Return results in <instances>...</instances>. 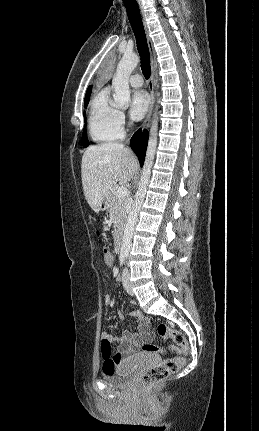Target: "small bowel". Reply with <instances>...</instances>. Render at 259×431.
I'll list each match as a JSON object with an SVG mask.
<instances>
[{
	"label": "small bowel",
	"mask_w": 259,
	"mask_h": 431,
	"mask_svg": "<svg viewBox=\"0 0 259 431\" xmlns=\"http://www.w3.org/2000/svg\"><path fill=\"white\" fill-rule=\"evenodd\" d=\"M109 272H106L105 278H108ZM106 306H110L113 303V298L107 295L104 298ZM131 316L135 317L139 322V329L137 332L125 331L119 336L103 332L101 334L102 341H108L111 345L117 343L119 345L118 350L108 356H103L104 363L103 369L106 364L112 365L114 368L120 365L134 362L137 358V351L142 344L150 340V333L148 327L144 321V317L139 312H132Z\"/></svg>",
	"instance_id": "obj_1"
}]
</instances>
